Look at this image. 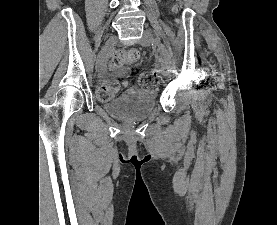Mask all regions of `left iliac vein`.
I'll return each mask as SVG.
<instances>
[{"label": "left iliac vein", "instance_id": "1", "mask_svg": "<svg viewBox=\"0 0 277 225\" xmlns=\"http://www.w3.org/2000/svg\"><path fill=\"white\" fill-rule=\"evenodd\" d=\"M139 43L142 46H150L151 43H153V34L150 30L146 29L143 33V37L141 38V40L139 41ZM163 74L166 78H170L171 77V73L167 72V71H163Z\"/></svg>", "mask_w": 277, "mask_h": 225}]
</instances>
